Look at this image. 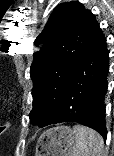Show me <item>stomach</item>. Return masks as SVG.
Here are the masks:
<instances>
[{
	"label": "stomach",
	"instance_id": "1",
	"mask_svg": "<svg viewBox=\"0 0 114 156\" xmlns=\"http://www.w3.org/2000/svg\"><path fill=\"white\" fill-rule=\"evenodd\" d=\"M75 143L74 127L55 126L44 131L38 138L35 156H70Z\"/></svg>",
	"mask_w": 114,
	"mask_h": 156
}]
</instances>
